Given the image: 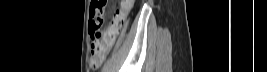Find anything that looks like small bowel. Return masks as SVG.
<instances>
[{"label":"small bowel","instance_id":"1","mask_svg":"<svg viewBox=\"0 0 267 72\" xmlns=\"http://www.w3.org/2000/svg\"><path fill=\"white\" fill-rule=\"evenodd\" d=\"M131 6H132L131 0H123L120 3L119 9L115 12L112 24H116L118 26V31L121 25L123 24L126 18V15L128 11L130 10Z\"/></svg>","mask_w":267,"mask_h":72}]
</instances>
